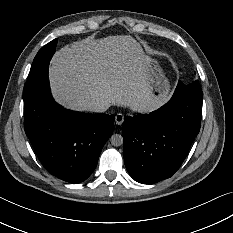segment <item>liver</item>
<instances>
[{
  "mask_svg": "<svg viewBox=\"0 0 233 233\" xmlns=\"http://www.w3.org/2000/svg\"><path fill=\"white\" fill-rule=\"evenodd\" d=\"M139 44L131 36L86 38L57 51L49 78L54 98L67 108L89 111L96 101L148 112L162 102L144 74Z\"/></svg>",
  "mask_w": 233,
  "mask_h": 233,
  "instance_id": "obj_1",
  "label": "liver"
}]
</instances>
